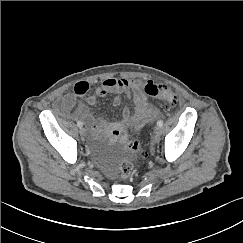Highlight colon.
I'll use <instances>...</instances> for the list:
<instances>
[{
  "label": "colon",
  "mask_w": 243,
  "mask_h": 243,
  "mask_svg": "<svg viewBox=\"0 0 243 243\" xmlns=\"http://www.w3.org/2000/svg\"><path fill=\"white\" fill-rule=\"evenodd\" d=\"M146 95L159 100L166 108L175 107L179 103L178 94L169 86L156 81H148L144 86ZM125 149L128 153L137 154L140 157L146 156V151L137 139L128 140L125 142ZM133 163L130 158H125L119 165L120 177L124 180L131 177L133 173Z\"/></svg>",
  "instance_id": "1"
}]
</instances>
